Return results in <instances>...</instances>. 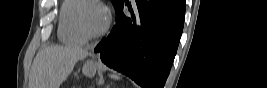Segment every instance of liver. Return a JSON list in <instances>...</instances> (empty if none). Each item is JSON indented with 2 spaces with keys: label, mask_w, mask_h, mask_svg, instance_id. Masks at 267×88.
<instances>
[{
  "label": "liver",
  "mask_w": 267,
  "mask_h": 88,
  "mask_svg": "<svg viewBox=\"0 0 267 88\" xmlns=\"http://www.w3.org/2000/svg\"><path fill=\"white\" fill-rule=\"evenodd\" d=\"M87 56V50L75 46L52 45L43 48L33 61L29 88H59L74 65Z\"/></svg>",
  "instance_id": "6515ba94"
}]
</instances>
